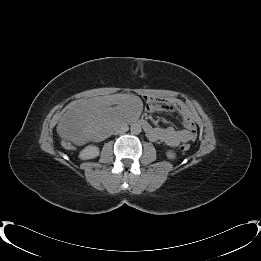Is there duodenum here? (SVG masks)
I'll return each mask as SVG.
<instances>
[{"mask_svg":"<svg viewBox=\"0 0 261 261\" xmlns=\"http://www.w3.org/2000/svg\"><path fill=\"white\" fill-rule=\"evenodd\" d=\"M137 123L147 132L149 133L152 130V127L150 126V124L143 119H140L137 121Z\"/></svg>","mask_w":261,"mask_h":261,"instance_id":"410a0bca","label":"duodenum"}]
</instances>
